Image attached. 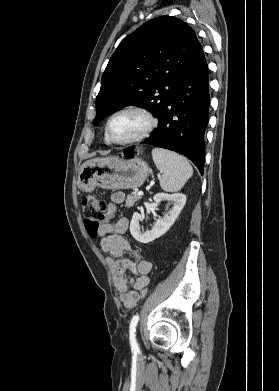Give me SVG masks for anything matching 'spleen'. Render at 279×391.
Here are the masks:
<instances>
[{
  "instance_id": "3e777b00",
  "label": "spleen",
  "mask_w": 279,
  "mask_h": 391,
  "mask_svg": "<svg viewBox=\"0 0 279 391\" xmlns=\"http://www.w3.org/2000/svg\"><path fill=\"white\" fill-rule=\"evenodd\" d=\"M152 158L161 172L160 186L164 191H179L193 175V168L181 155L163 148H154Z\"/></svg>"
}]
</instances>
